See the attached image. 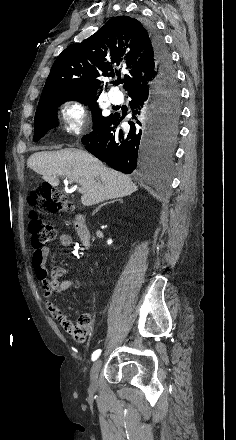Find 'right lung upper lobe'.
Here are the masks:
<instances>
[{
  "mask_svg": "<svg viewBox=\"0 0 236 440\" xmlns=\"http://www.w3.org/2000/svg\"><path fill=\"white\" fill-rule=\"evenodd\" d=\"M125 70L126 91L155 82L157 62L147 28L128 16L111 18L81 43L66 48L55 60L40 100L60 94L94 93L98 77Z\"/></svg>",
  "mask_w": 236,
  "mask_h": 440,
  "instance_id": "right-lung-upper-lobe-1",
  "label": "right lung upper lobe"
}]
</instances>
